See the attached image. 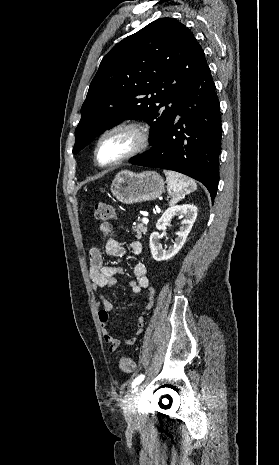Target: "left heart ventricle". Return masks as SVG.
I'll return each instance as SVG.
<instances>
[{"label": "left heart ventricle", "mask_w": 279, "mask_h": 465, "mask_svg": "<svg viewBox=\"0 0 279 465\" xmlns=\"http://www.w3.org/2000/svg\"><path fill=\"white\" fill-rule=\"evenodd\" d=\"M137 143V135L130 130H119L108 135L99 148V159L103 163L114 161L129 151Z\"/></svg>", "instance_id": "1"}]
</instances>
